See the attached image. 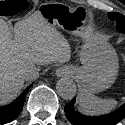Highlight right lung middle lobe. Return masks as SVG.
<instances>
[{
    "label": "right lung middle lobe",
    "instance_id": "right-lung-middle-lobe-1",
    "mask_svg": "<svg viewBox=\"0 0 125 125\" xmlns=\"http://www.w3.org/2000/svg\"><path fill=\"white\" fill-rule=\"evenodd\" d=\"M27 6L26 0L0 1V15H13Z\"/></svg>",
    "mask_w": 125,
    "mask_h": 125
}]
</instances>
